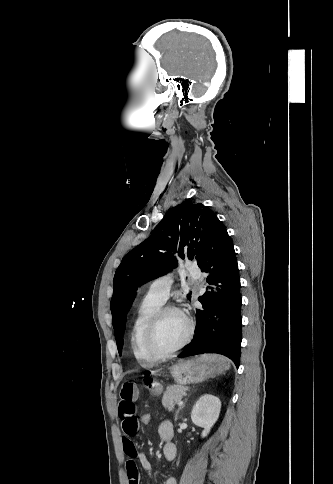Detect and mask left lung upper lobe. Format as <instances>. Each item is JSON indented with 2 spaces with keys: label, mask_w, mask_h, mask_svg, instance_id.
<instances>
[{
  "label": "left lung upper lobe",
  "mask_w": 333,
  "mask_h": 484,
  "mask_svg": "<svg viewBox=\"0 0 333 484\" xmlns=\"http://www.w3.org/2000/svg\"><path fill=\"white\" fill-rule=\"evenodd\" d=\"M215 217L207 206L184 201L170 209L151 236L123 258L114 275L111 299L113 328L119 353L123 346L126 313L138 285L174 268L177 261L173 254L178 253V256L184 258V248L190 259H197Z\"/></svg>",
  "instance_id": "left-lung-upper-lobe-1"
}]
</instances>
